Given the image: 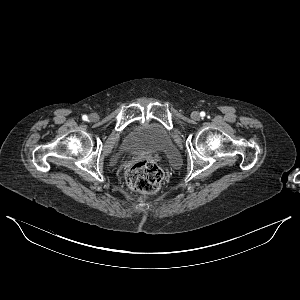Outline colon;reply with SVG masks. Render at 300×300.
<instances>
[{
    "instance_id": "colon-1",
    "label": "colon",
    "mask_w": 300,
    "mask_h": 300,
    "mask_svg": "<svg viewBox=\"0 0 300 300\" xmlns=\"http://www.w3.org/2000/svg\"><path fill=\"white\" fill-rule=\"evenodd\" d=\"M163 172L152 158H141L135 161L127 170L128 186L142 193L152 194L159 190Z\"/></svg>"
}]
</instances>
